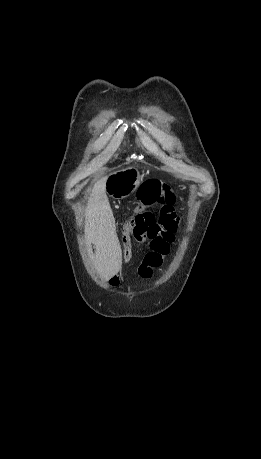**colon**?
I'll return each mask as SVG.
<instances>
[{
  "label": "colon",
  "instance_id": "5ec220e1",
  "mask_svg": "<svg viewBox=\"0 0 261 459\" xmlns=\"http://www.w3.org/2000/svg\"><path fill=\"white\" fill-rule=\"evenodd\" d=\"M136 213L128 222H122L120 235L121 249L126 261L133 259V235L140 238H158L160 234H176L179 229L173 204L176 197L171 188L158 180H147L137 195ZM159 205V218L147 210L148 207Z\"/></svg>",
  "mask_w": 261,
  "mask_h": 459
}]
</instances>
